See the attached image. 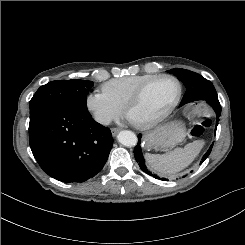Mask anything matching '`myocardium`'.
<instances>
[{
    "label": "myocardium",
    "mask_w": 245,
    "mask_h": 245,
    "mask_svg": "<svg viewBox=\"0 0 245 245\" xmlns=\"http://www.w3.org/2000/svg\"><path fill=\"white\" fill-rule=\"evenodd\" d=\"M162 79H170V80H173L177 83L178 92H177V95L175 97V100L173 101L171 106L168 108V110L166 112H164L162 115H160L159 117H157V118H155L149 122L143 123V124L134 123L135 126L138 127L139 129H142V130L151 129V128L156 127L157 125H159L163 121H165L174 112V110L176 109V107L178 106V104L181 100V96H182V92H183L182 82L174 75H170V74L156 75V76L152 77L151 79L147 80L146 82H144L143 84H141L138 87V89L134 92V94L131 96V98L128 100V102L124 108L126 116L129 117L130 111L140 102L145 90L152 83H154L158 80H162Z\"/></svg>",
    "instance_id": "1"
}]
</instances>
